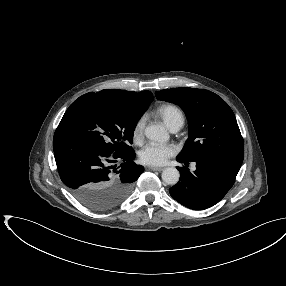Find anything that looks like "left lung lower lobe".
Listing matches in <instances>:
<instances>
[{"label": "left lung lower lobe", "instance_id": "left-lung-lower-lobe-1", "mask_svg": "<svg viewBox=\"0 0 286 286\" xmlns=\"http://www.w3.org/2000/svg\"><path fill=\"white\" fill-rule=\"evenodd\" d=\"M177 161L187 160L177 157ZM196 170L177 167L180 181L169 189L170 195L180 204L194 210L209 208L218 203L235 182L241 164L230 159L204 156L196 160Z\"/></svg>", "mask_w": 286, "mask_h": 286}]
</instances>
